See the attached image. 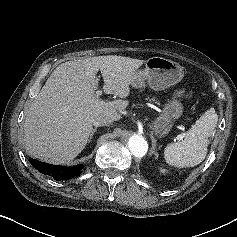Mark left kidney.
<instances>
[{
  "mask_svg": "<svg viewBox=\"0 0 237 237\" xmlns=\"http://www.w3.org/2000/svg\"><path fill=\"white\" fill-rule=\"evenodd\" d=\"M160 172H162V173H165V172H166V170H165V169H163V168H160Z\"/></svg>",
  "mask_w": 237,
  "mask_h": 237,
  "instance_id": "5707ae66",
  "label": "left kidney"
}]
</instances>
